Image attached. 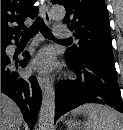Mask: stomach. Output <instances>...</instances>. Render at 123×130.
Segmentation results:
<instances>
[{
  "label": "stomach",
  "mask_w": 123,
  "mask_h": 130,
  "mask_svg": "<svg viewBox=\"0 0 123 130\" xmlns=\"http://www.w3.org/2000/svg\"><path fill=\"white\" fill-rule=\"evenodd\" d=\"M67 124H68V127L70 128V130L79 128V126H80V123L75 122V121H68Z\"/></svg>",
  "instance_id": "obj_1"
}]
</instances>
